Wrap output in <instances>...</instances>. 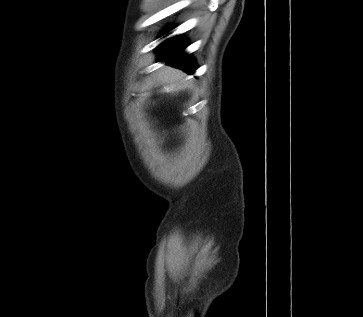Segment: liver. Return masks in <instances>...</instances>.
Wrapping results in <instances>:
<instances>
[{"mask_svg":"<svg viewBox=\"0 0 363 317\" xmlns=\"http://www.w3.org/2000/svg\"><path fill=\"white\" fill-rule=\"evenodd\" d=\"M172 72L174 73V76H173V73ZM166 73H167L166 78H170L171 80L178 78L179 75H180L179 72H174L170 68L167 69Z\"/></svg>","mask_w":363,"mask_h":317,"instance_id":"liver-1","label":"liver"}]
</instances>
